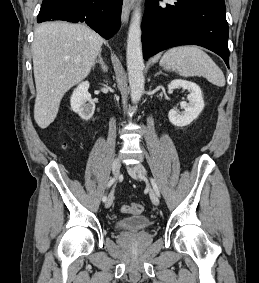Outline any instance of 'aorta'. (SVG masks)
I'll return each mask as SVG.
<instances>
[{"mask_svg":"<svg viewBox=\"0 0 259 283\" xmlns=\"http://www.w3.org/2000/svg\"><path fill=\"white\" fill-rule=\"evenodd\" d=\"M141 33V12L139 3H137L128 31L126 50L130 95L133 103H137L141 99L145 84Z\"/></svg>","mask_w":259,"mask_h":283,"instance_id":"762f6f07","label":"aorta"}]
</instances>
